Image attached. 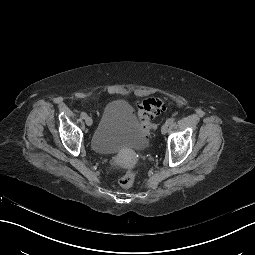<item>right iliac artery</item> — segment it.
I'll return each mask as SVG.
<instances>
[{"label": "right iliac artery", "instance_id": "obj_1", "mask_svg": "<svg viewBox=\"0 0 255 255\" xmlns=\"http://www.w3.org/2000/svg\"><path fill=\"white\" fill-rule=\"evenodd\" d=\"M81 117H82L83 119H85V118L87 117V114H86L85 112H82V113H81Z\"/></svg>", "mask_w": 255, "mask_h": 255}]
</instances>
